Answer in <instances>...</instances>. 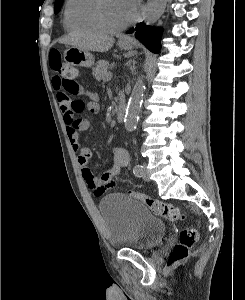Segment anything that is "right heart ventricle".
Returning a JSON list of instances; mask_svg holds the SVG:
<instances>
[{
    "label": "right heart ventricle",
    "instance_id": "right-heart-ventricle-1",
    "mask_svg": "<svg viewBox=\"0 0 245 300\" xmlns=\"http://www.w3.org/2000/svg\"><path fill=\"white\" fill-rule=\"evenodd\" d=\"M91 0H67L64 11V24L69 32L98 33L100 32L89 19Z\"/></svg>",
    "mask_w": 245,
    "mask_h": 300
}]
</instances>
